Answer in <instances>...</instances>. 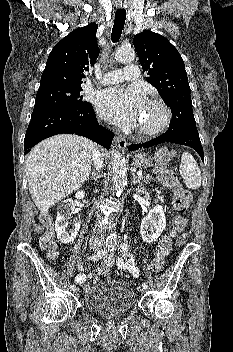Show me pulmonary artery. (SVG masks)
Returning <instances> with one entry per match:
<instances>
[{
    "instance_id": "obj_1",
    "label": "pulmonary artery",
    "mask_w": 233,
    "mask_h": 352,
    "mask_svg": "<svg viewBox=\"0 0 233 352\" xmlns=\"http://www.w3.org/2000/svg\"><path fill=\"white\" fill-rule=\"evenodd\" d=\"M139 78V69L136 65H127L123 69L114 70L103 76L102 83H115L120 81H134Z\"/></svg>"
}]
</instances>
